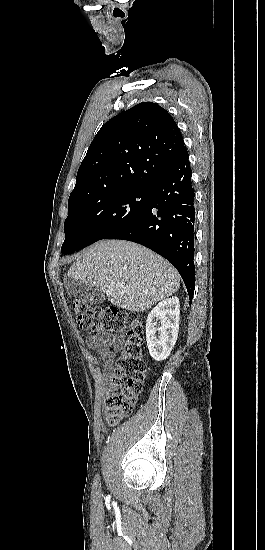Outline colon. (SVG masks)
Returning a JSON list of instances; mask_svg holds the SVG:
<instances>
[{
  "instance_id": "colon-1",
  "label": "colon",
  "mask_w": 265,
  "mask_h": 550,
  "mask_svg": "<svg viewBox=\"0 0 265 550\" xmlns=\"http://www.w3.org/2000/svg\"><path fill=\"white\" fill-rule=\"evenodd\" d=\"M73 309L79 326L84 330L128 336L115 361L114 376L105 399L107 421L116 425L132 413L145 379L142 319L135 312L93 307L81 301H75Z\"/></svg>"
}]
</instances>
